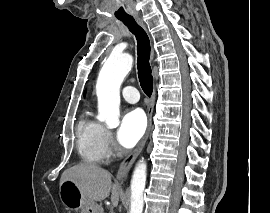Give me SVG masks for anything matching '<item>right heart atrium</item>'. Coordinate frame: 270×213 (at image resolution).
Masks as SVG:
<instances>
[{
    "instance_id": "d8ad5b80",
    "label": "right heart atrium",
    "mask_w": 270,
    "mask_h": 213,
    "mask_svg": "<svg viewBox=\"0 0 270 213\" xmlns=\"http://www.w3.org/2000/svg\"><path fill=\"white\" fill-rule=\"evenodd\" d=\"M106 141H107L109 149L114 150L115 146L113 144L112 133L109 130H106Z\"/></svg>"
}]
</instances>
